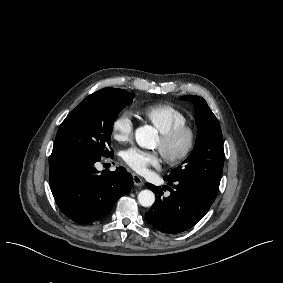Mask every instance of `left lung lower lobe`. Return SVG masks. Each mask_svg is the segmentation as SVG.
Listing matches in <instances>:
<instances>
[{"instance_id":"0a47b994","label":"left lung lower lobe","mask_w":283,"mask_h":283,"mask_svg":"<svg viewBox=\"0 0 283 283\" xmlns=\"http://www.w3.org/2000/svg\"><path fill=\"white\" fill-rule=\"evenodd\" d=\"M168 197L163 196L166 187H156L147 183L156 196V202L145 213L146 221L159 231L175 234L194 226L209 210L215 198L206 195L195 184L184 181H171ZM165 188V189H164Z\"/></svg>"}]
</instances>
